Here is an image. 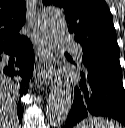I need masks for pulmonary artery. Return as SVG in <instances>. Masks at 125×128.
Instances as JSON below:
<instances>
[{
	"mask_svg": "<svg viewBox=\"0 0 125 128\" xmlns=\"http://www.w3.org/2000/svg\"><path fill=\"white\" fill-rule=\"evenodd\" d=\"M59 44L61 47L64 48H74L75 49V55L79 59L82 57L83 53L80 49L77 48L76 42L69 36H63L59 38Z\"/></svg>",
	"mask_w": 125,
	"mask_h": 128,
	"instance_id": "1",
	"label": "pulmonary artery"
}]
</instances>
